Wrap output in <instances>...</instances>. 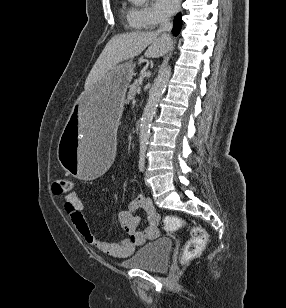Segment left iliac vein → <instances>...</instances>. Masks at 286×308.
<instances>
[{
  "label": "left iliac vein",
  "mask_w": 286,
  "mask_h": 308,
  "mask_svg": "<svg viewBox=\"0 0 286 308\" xmlns=\"http://www.w3.org/2000/svg\"><path fill=\"white\" fill-rule=\"evenodd\" d=\"M147 176H148V174H147V172H146V173H145V176H144L145 184H146V186H149V183L147 182Z\"/></svg>",
  "instance_id": "4c4485c4"
}]
</instances>
